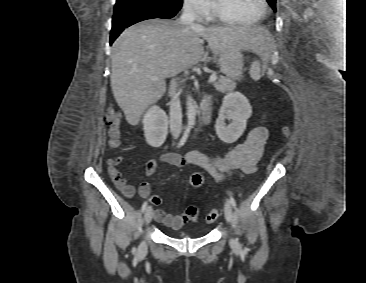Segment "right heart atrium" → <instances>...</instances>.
<instances>
[{
    "label": "right heart atrium",
    "mask_w": 366,
    "mask_h": 283,
    "mask_svg": "<svg viewBox=\"0 0 366 283\" xmlns=\"http://www.w3.org/2000/svg\"><path fill=\"white\" fill-rule=\"evenodd\" d=\"M185 10L197 19L207 16L211 10V0H183Z\"/></svg>",
    "instance_id": "right-heart-atrium-1"
}]
</instances>
